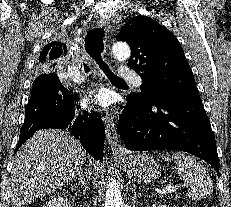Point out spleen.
<instances>
[{"label":"spleen","mask_w":231,"mask_h":207,"mask_svg":"<svg viewBox=\"0 0 231 207\" xmlns=\"http://www.w3.org/2000/svg\"><path fill=\"white\" fill-rule=\"evenodd\" d=\"M162 157L168 160L170 155L166 152L162 154ZM172 157L175 160L180 178L189 187L188 196L192 200L205 198L213 192V183L210 176L195 158L181 152L173 153Z\"/></svg>","instance_id":"spleen-1"}]
</instances>
